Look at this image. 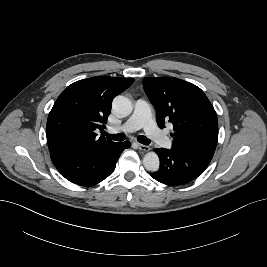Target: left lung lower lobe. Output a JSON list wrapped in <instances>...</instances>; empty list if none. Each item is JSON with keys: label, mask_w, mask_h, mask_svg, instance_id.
I'll return each mask as SVG.
<instances>
[{"label": "left lung lower lobe", "mask_w": 267, "mask_h": 267, "mask_svg": "<svg viewBox=\"0 0 267 267\" xmlns=\"http://www.w3.org/2000/svg\"><path fill=\"white\" fill-rule=\"evenodd\" d=\"M155 151L160 158L161 166L151 177L170 186L183 185L196 179L212 159L201 153L175 148H158Z\"/></svg>", "instance_id": "1"}]
</instances>
